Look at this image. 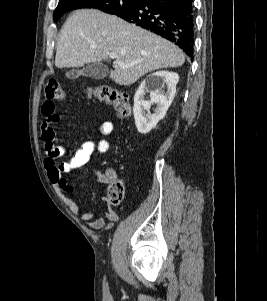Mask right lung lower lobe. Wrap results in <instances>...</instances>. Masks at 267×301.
Returning a JSON list of instances; mask_svg holds the SVG:
<instances>
[{
  "instance_id": "1",
  "label": "right lung lower lobe",
  "mask_w": 267,
  "mask_h": 301,
  "mask_svg": "<svg viewBox=\"0 0 267 301\" xmlns=\"http://www.w3.org/2000/svg\"><path fill=\"white\" fill-rule=\"evenodd\" d=\"M193 0H139L120 18L152 31L179 46L193 59Z\"/></svg>"
}]
</instances>
